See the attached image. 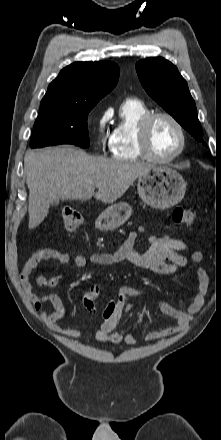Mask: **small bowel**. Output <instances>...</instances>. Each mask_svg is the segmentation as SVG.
Masks as SVG:
<instances>
[{"mask_svg":"<svg viewBox=\"0 0 221 440\" xmlns=\"http://www.w3.org/2000/svg\"><path fill=\"white\" fill-rule=\"evenodd\" d=\"M139 231L144 232L145 229L140 227ZM136 239L137 232L131 231L126 241L117 251L113 253L92 254L90 256L77 255L74 257V263L78 268L84 269L89 264L110 266L123 261H129L139 268L148 269L162 275H175L188 266L189 260L182 254L187 251L188 248L181 240L169 235L151 236L149 238V248L142 253L136 248ZM47 260L57 261L60 264L66 265L69 264L72 259L69 254L56 249L44 247L35 249L21 268L20 279L22 288L34 309L40 313L42 319L53 331L70 338H82L85 334L81 329L63 327L59 324L65 316V306L63 300L57 293L39 295L32 290V283L42 288H52L58 285L62 280L61 275L52 277L33 275L38 264ZM191 260L199 263L202 260L201 253L193 252ZM194 273L198 280V287L187 310H178L161 300L157 307L158 311L174 319L176 325L160 332L147 333L145 335L146 341L158 340L182 331L189 325L192 315L201 310L209 280L206 271L202 268H197ZM88 293V290L81 292L82 303ZM132 296L159 298V295L154 292L142 291L130 286H121L117 293L116 311L113 313L111 319L103 318V321L93 336L96 341L111 342L113 344L124 342L127 345H135L137 343V339L133 333L130 332L122 335L114 331L122 315L133 307V303L130 301V297ZM45 303H50L54 311L47 312L44 309Z\"/></svg>","mask_w":221,"mask_h":440,"instance_id":"small-bowel-1","label":"small bowel"}]
</instances>
